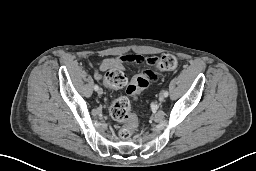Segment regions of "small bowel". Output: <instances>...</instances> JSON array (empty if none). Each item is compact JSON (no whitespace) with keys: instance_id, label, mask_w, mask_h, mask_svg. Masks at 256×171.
Returning <instances> with one entry per match:
<instances>
[{"instance_id":"1","label":"small bowel","mask_w":256,"mask_h":171,"mask_svg":"<svg viewBox=\"0 0 256 171\" xmlns=\"http://www.w3.org/2000/svg\"><path fill=\"white\" fill-rule=\"evenodd\" d=\"M154 60H155V57H153V56L127 54V55H124L121 57L104 59L99 66V70L102 72H108L113 69L122 70L125 67V65L130 64V63H143V64L152 65ZM142 75H144L147 78V80L148 79H150V80L157 79L156 74L151 70L145 71V73H142ZM95 77L97 79H101L102 75L99 72H96Z\"/></svg>"}]
</instances>
